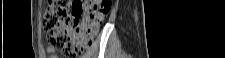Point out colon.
Instances as JSON below:
<instances>
[{
    "mask_svg": "<svg viewBox=\"0 0 225 58\" xmlns=\"http://www.w3.org/2000/svg\"><path fill=\"white\" fill-rule=\"evenodd\" d=\"M110 9L109 0H50L43 16L50 49L68 57L81 55L96 38Z\"/></svg>",
    "mask_w": 225,
    "mask_h": 58,
    "instance_id": "obj_1",
    "label": "colon"
}]
</instances>
